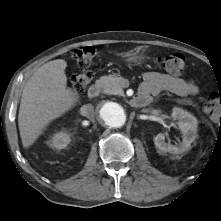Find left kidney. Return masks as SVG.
Listing matches in <instances>:
<instances>
[{"mask_svg": "<svg viewBox=\"0 0 221 221\" xmlns=\"http://www.w3.org/2000/svg\"><path fill=\"white\" fill-rule=\"evenodd\" d=\"M172 117L178 121V127L182 131V143L177 146L168 144L165 142V135L159 133L154 138V144L163 152L181 154L189 150L191 143L196 139L198 122L193 115L178 107L173 108Z\"/></svg>", "mask_w": 221, "mask_h": 221, "instance_id": "5707ae66", "label": "left kidney"}]
</instances>
